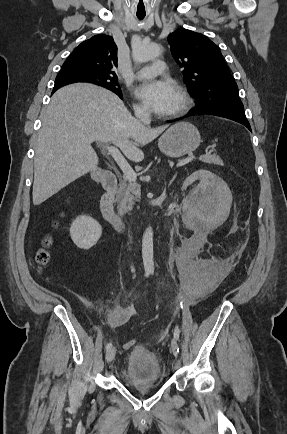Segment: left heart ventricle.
<instances>
[{
    "label": "left heart ventricle",
    "instance_id": "left-heart-ventricle-1",
    "mask_svg": "<svg viewBox=\"0 0 287 434\" xmlns=\"http://www.w3.org/2000/svg\"><path fill=\"white\" fill-rule=\"evenodd\" d=\"M180 103H181V100H180V96H179V94H178L177 99H176V101H175V104H174V106H173L172 111H175V110L180 106ZM172 111H171V112H172Z\"/></svg>",
    "mask_w": 287,
    "mask_h": 434
}]
</instances>
